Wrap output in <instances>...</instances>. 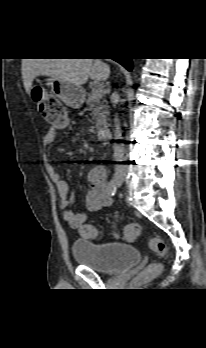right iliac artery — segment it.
<instances>
[{
    "label": "right iliac artery",
    "instance_id": "right-iliac-artery-1",
    "mask_svg": "<svg viewBox=\"0 0 206 348\" xmlns=\"http://www.w3.org/2000/svg\"><path fill=\"white\" fill-rule=\"evenodd\" d=\"M116 190H117V186H116L114 180H111L108 184L107 192L110 196H113V195H115Z\"/></svg>",
    "mask_w": 206,
    "mask_h": 348
}]
</instances>
